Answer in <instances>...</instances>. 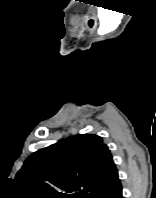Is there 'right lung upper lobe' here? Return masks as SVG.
<instances>
[{
	"mask_svg": "<svg viewBox=\"0 0 156 198\" xmlns=\"http://www.w3.org/2000/svg\"><path fill=\"white\" fill-rule=\"evenodd\" d=\"M16 180L42 198H107L121 186L112 155L95 134L68 137L34 152Z\"/></svg>",
	"mask_w": 156,
	"mask_h": 198,
	"instance_id": "1",
	"label": "right lung upper lobe"
}]
</instances>
